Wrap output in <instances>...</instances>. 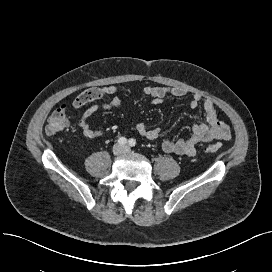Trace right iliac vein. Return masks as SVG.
<instances>
[{"mask_svg": "<svg viewBox=\"0 0 272 272\" xmlns=\"http://www.w3.org/2000/svg\"><path fill=\"white\" fill-rule=\"evenodd\" d=\"M122 152H123V148L120 145L117 144L113 147V153L115 155H120Z\"/></svg>", "mask_w": 272, "mask_h": 272, "instance_id": "obj_1", "label": "right iliac vein"}]
</instances>
